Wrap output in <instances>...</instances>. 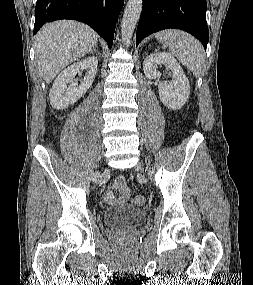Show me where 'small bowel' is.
<instances>
[{"label":"small bowel","instance_id":"small-bowel-1","mask_svg":"<svg viewBox=\"0 0 253 285\" xmlns=\"http://www.w3.org/2000/svg\"><path fill=\"white\" fill-rule=\"evenodd\" d=\"M114 191H108L105 194V202L109 205L123 204L126 203L130 197V189L127 187L125 179L123 177H118L115 179L113 184Z\"/></svg>","mask_w":253,"mask_h":285}]
</instances>
